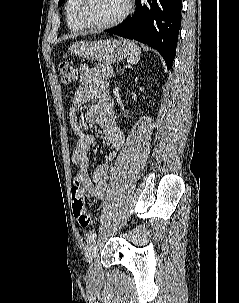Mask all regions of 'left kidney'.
Listing matches in <instances>:
<instances>
[{"mask_svg":"<svg viewBox=\"0 0 239 303\" xmlns=\"http://www.w3.org/2000/svg\"><path fill=\"white\" fill-rule=\"evenodd\" d=\"M135 81H137V78L135 79ZM139 90H140V91H143L144 88L140 87Z\"/></svg>","mask_w":239,"mask_h":303,"instance_id":"1","label":"left kidney"}]
</instances>
